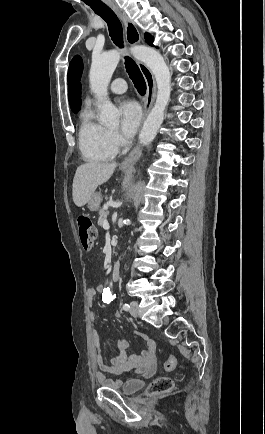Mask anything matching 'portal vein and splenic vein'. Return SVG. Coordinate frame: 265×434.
I'll list each match as a JSON object with an SVG mask.
<instances>
[{"instance_id":"portal-vein-and-splenic-vein-1","label":"portal vein and splenic vein","mask_w":265,"mask_h":434,"mask_svg":"<svg viewBox=\"0 0 265 434\" xmlns=\"http://www.w3.org/2000/svg\"><path fill=\"white\" fill-rule=\"evenodd\" d=\"M106 208H108V206H106ZM103 228H104V230H109L110 226H109L107 220H105V222L103 224Z\"/></svg>"}]
</instances>
